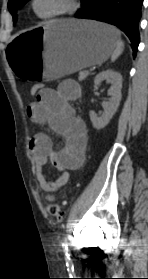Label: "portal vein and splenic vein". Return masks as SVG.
I'll return each instance as SVG.
<instances>
[{
  "label": "portal vein and splenic vein",
  "instance_id": "obj_1",
  "mask_svg": "<svg viewBox=\"0 0 148 279\" xmlns=\"http://www.w3.org/2000/svg\"><path fill=\"white\" fill-rule=\"evenodd\" d=\"M87 75H88V72H87V71H85V72L82 73V77H83V78L86 77Z\"/></svg>",
  "mask_w": 148,
  "mask_h": 279
}]
</instances>
